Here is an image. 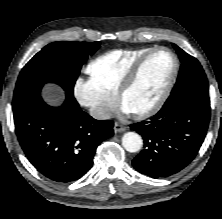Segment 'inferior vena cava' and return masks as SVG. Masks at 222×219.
I'll return each mask as SVG.
<instances>
[{
  "mask_svg": "<svg viewBox=\"0 0 222 219\" xmlns=\"http://www.w3.org/2000/svg\"><path fill=\"white\" fill-rule=\"evenodd\" d=\"M90 115L95 119H109L112 113L106 109L94 107L90 109Z\"/></svg>",
  "mask_w": 222,
  "mask_h": 219,
  "instance_id": "obj_1",
  "label": "inferior vena cava"
}]
</instances>
